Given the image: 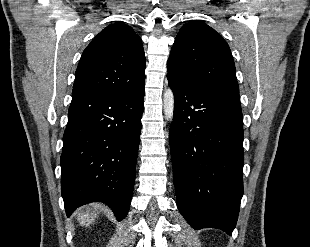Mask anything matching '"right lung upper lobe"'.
<instances>
[{
	"mask_svg": "<svg viewBox=\"0 0 310 247\" xmlns=\"http://www.w3.org/2000/svg\"><path fill=\"white\" fill-rule=\"evenodd\" d=\"M140 37L124 24L103 29L84 50L76 70L72 101L136 91L145 85Z\"/></svg>",
	"mask_w": 310,
	"mask_h": 247,
	"instance_id": "obj_1",
	"label": "right lung upper lobe"
}]
</instances>
